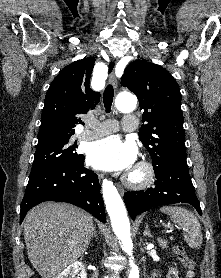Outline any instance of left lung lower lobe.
I'll list each match as a JSON object with an SVG mask.
<instances>
[{"label": "left lung lower lobe", "instance_id": "0a47b994", "mask_svg": "<svg viewBox=\"0 0 221 278\" xmlns=\"http://www.w3.org/2000/svg\"><path fill=\"white\" fill-rule=\"evenodd\" d=\"M155 171V187L146 191H131L124 195V202L132 219L151 208L188 203L201 215L199 201L188 172L186 159H174Z\"/></svg>", "mask_w": 221, "mask_h": 278}]
</instances>
